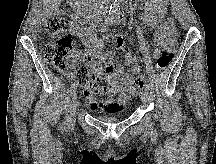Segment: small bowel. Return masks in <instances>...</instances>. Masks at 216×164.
Listing matches in <instances>:
<instances>
[{
	"mask_svg": "<svg viewBox=\"0 0 216 164\" xmlns=\"http://www.w3.org/2000/svg\"><path fill=\"white\" fill-rule=\"evenodd\" d=\"M167 12L168 0H147L142 19L155 32V57L166 48L168 33L173 28V22L167 18ZM73 18L76 24L72 30L85 44L86 60L92 67L103 69L106 74V86L84 89L85 104L90 110L120 112L129 102V86L134 76L142 70L140 61L127 52L125 62L128 70L125 71L117 65L114 51L103 52V41L93 33V28L82 26L77 15H73ZM112 40L117 51L124 50L125 41L121 36H115Z\"/></svg>",
	"mask_w": 216,
	"mask_h": 164,
	"instance_id": "1",
	"label": "small bowel"
}]
</instances>
